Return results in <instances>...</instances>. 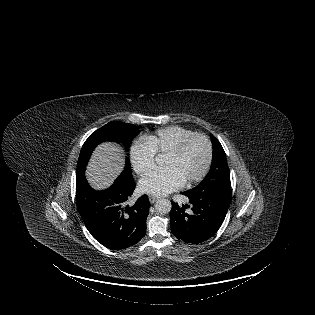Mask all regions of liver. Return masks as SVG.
<instances>
[{
  "mask_svg": "<svg viewBox=\"0 0 315 315\" xmlns=\"http://www.w3.org/2000/svg\"><path fill=\"white\" fill-rule=\"evenodd\" d=\"M124 166L122 150L111 143L100 145L86 173L90 183L96 188H105L112 184Z\"/></svg>",
  "mask_w": 315,
  "mask_h": 315,
  "instance_id": "1",
  "label": "liver"
}]
</instances>
